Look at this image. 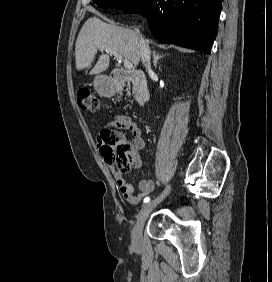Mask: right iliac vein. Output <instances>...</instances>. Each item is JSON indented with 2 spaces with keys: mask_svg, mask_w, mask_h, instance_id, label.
Wrapping results in <instances>:
<instances>
[{
  "mask_svg": "<svg viewBox=\"0 0 272 282\" xmlns=\"http://www.w3.org/2000/svg\"><path fill=\"white\" fill-rule=\"evenodd\" d=\"M168 193L169 189L158 196L156 199L145 204L140 210L137 216L136 224L132 231V243L135 247L138 246L141 242L143 226L150 212L166 197Z\"/></svg>",
  "mask_w": 272,
  "mask_h": 282,
  "instance_id": "1",
  "label": "right iliac vein"
}]
</instances>
